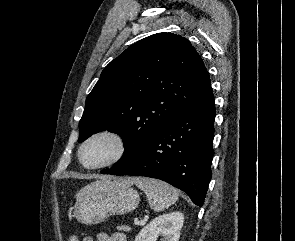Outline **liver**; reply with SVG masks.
Listing matches in <instances>:
<instances>
[{
    "label": "liver",
    "instance_id": "1",
    "mask_svg": "<svg viewBox=\"0 0 295 241\" xmlns=\"http://www.w3.org/2000/svg\"><path fill=\"white\" fill-rule=\"evenodd\" d=\"M108 179H110V178H108V177H105L103 180L105 181V180H108ZM125 182H126V184H129V185H132L133 184V182H134V179L133 178H126L125 179ZM87 188V186L85 187V188H83L81 191H83L84 189H86ZM80 191V192H81ZM79 192V193H80ZM78 193V194H79ZM78 196V195H77Z\"/></svg>",
    "mask_w": 295,
    "mask_h": 241
}]
</instances>
